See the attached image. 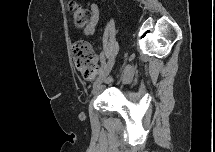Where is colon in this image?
<instances>
[{"mask_svg":"<svg viewBox=\"0 0 215 152\" xmlns=\"http://www.w3.org/2000/svg\"><path fill=\"white\" fill-rule=\"evenodd\" d=\"M76 25L83 27L90 21V13L84 10L78 3L70 2L68 5ZM71 55L75 67L80 71L84 79L90 80L99 71L95 61L92 46L86 41H76L71 46Z\"/></svg>","mask_w":215,"mask_h":152,"instance_id":"1","label":"colon"}]
</instances>
